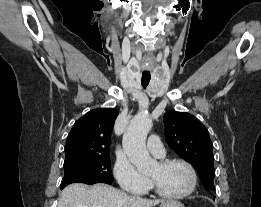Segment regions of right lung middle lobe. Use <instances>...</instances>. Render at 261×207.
<instances>
[{
  "instance_id": "dd1d6c3e",
  "label": "right lung middle lobe",
  "mask_w": 261,
  "mask_h": 207,
  "mask_svg": "<svg viewBox=\"0 0 261 207\" xmlns=\"http://www.w3.org/2000/svg\"><path fill=\"white\" fill-rule=\"evenodd\" d=\"M64 171L61 188L75 182L113 181L109 156L65 161Z\"/></svg>"
}]
</instances>
